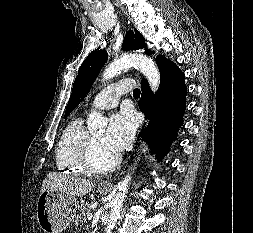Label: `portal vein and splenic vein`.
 <instances>
[{"mask_svg": "<svg viewBox=\"0 0 253 233\" xmlns=\"http://www.w3.org/2000/svg\"><path fill=\"white\" fill-rule=\"evenodd\" d=\"M92 217H93V215L90 214V213L87 215V219H88L89 221L92 220Z\"/></svg>", "mask_w": 253, "mask_h": 233, "instance_id": "portal-vein-and-splenic-vein-1", "label": "portal vein and splenic vein"}]
</instances>
